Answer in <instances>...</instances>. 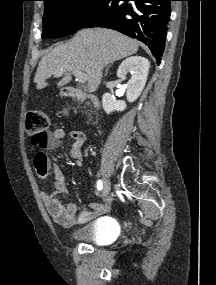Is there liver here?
Returning <instances> with one entry per match:
<instances>
[{
    "label": "liver",
    "mask_w": 216,
    "mask_h": 285,
    "mask_svg": "<svg viewBox=\"0 0 216 285\" xmlns=\"http://www.w3.org/2000/svg\"><path fill=\"white\" fill-rule=\"evenodd\" d=\"M139 44L121 33L94 28L79 31L69 42L57 45L39 62L34 82L37 89L48 84L46 80L59 71L64 77L58 87L67 85L71 72L78 70L87 77L89 92H95L102 80V70L109 63L137 52Z\"/></svg>",
    "instance_id": "6515ba94"
}]
</instances>
